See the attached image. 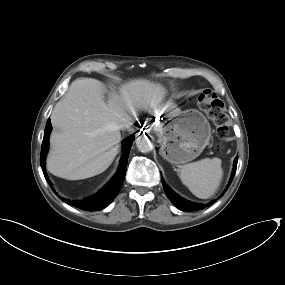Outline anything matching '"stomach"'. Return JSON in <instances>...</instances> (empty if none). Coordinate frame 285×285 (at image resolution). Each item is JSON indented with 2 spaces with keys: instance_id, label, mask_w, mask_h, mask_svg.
<instances>
[{
  "instance_id": "stomach-1",
  "label": "stomach",
  "mask_w": 285,
  "mask_h": 285,
  "mask_svg": "<svg viewBox=\"0 0 285 285\" xmlns=\"http://www.w3.org/2000/svg\"><path fill=\"white\" fill-rule=\"evenodd\" d=\"M156 132L161 143L160 155L175 165L194 160L211 138L209 122L194 109L166 115Z\"/></svg>"
}]
</instances>
